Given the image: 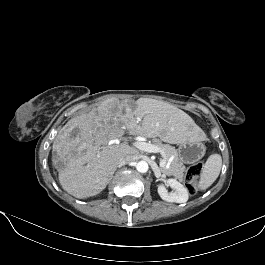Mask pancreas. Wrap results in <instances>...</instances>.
Segmentation results:
<instances>
[{
	"mask_svg": "<svg viewBox=\"0 0 265 265\" xmlns=\"http://www.w3.org/2000/svg\"><path fill=\"white\" fill-rule=\"evenodd\" d=\"M152 143L164 151L166 155V162L169 163L168 167H161V171L168 176H174L176 179L182 181L185 169L182 162L179 160L176 149L169 144H163L158 139H154ZM171 158L173 159L170 161Z\"/></svg>",
	"mask_w": 265,
	"mask_h": 265,
	"instance_id": "pancreas-1",
	"label": "pancreas"
}]
</instances>
